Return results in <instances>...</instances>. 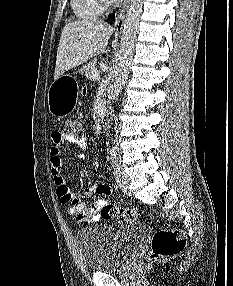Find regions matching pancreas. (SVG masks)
<instances>
[{
	"mask_svg": "<svg viewBox=\"0 0 233 286\" xmlns=\"http://www.w3.org/2000/svg\"><path fill=\"white\" fill-rule=\"evenodd\" d=\"M98 72L99 70L96 67V61H92L80 69V73L90 80H93L92 76Z\"/></svg>",
	"mask_w": 233,
	"mask_h": 286,
	"instance_id": "obj_1",
	"label": "pancreas"
}]
</instances>
